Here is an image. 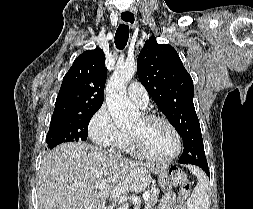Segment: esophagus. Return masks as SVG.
Instances as JSON below:
<instances>
[{"label": "esophagus", "mask_w": 253, "mask_h": 209, "mask_svg": "<svg viewBox=\"0 0 253 209\" xmlns=\"http://www.w3.org/2000/svg\"><path fill=\"white\" fill-rule=\"evenodd\" d=\"M120 21L124 24H129L131 26H134L136 22V15L132 11H123L120 13Z\"/></svg>", "instance_id": "1"}]
</instances>
